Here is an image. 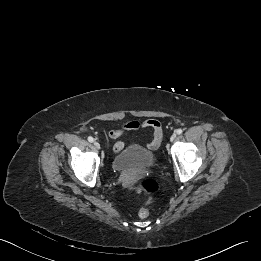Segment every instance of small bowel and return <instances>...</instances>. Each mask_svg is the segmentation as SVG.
Here are the masks:
<instances>
[{"label": "small bowel", "instance_id": "obj_1", "mask_svg": "<svg viewBox=\"0 0 261 261\" xmlns=\"http://www.w3.org/2000/svg\"><path fill=\"white\" fill-rule=\"evenodd\" d=\"M151 129L154 132V139L148 143L149 148H156L160 142L162 136V127L156 119H146L141 122L129 121L124 125L111 129L109 131V137L116 139L117 141L113 145V152L117 154L124 148V142L122 137L125 131H137L139 129Z\"/></svg>", "mask_w": 261, "mask_h": 261}]
</instances>
